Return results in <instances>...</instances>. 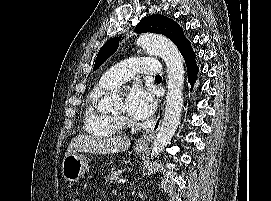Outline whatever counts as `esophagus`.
<instances>
[{
	"mask_svg": "<svg viewBox=\"0 0 271 201\" xmlns=\"http://www.w3.org/2000/svg\"><path fill=\"white\" fill-rule=\"evenodd\" d=\"M163 115H164V106L161 105L158 111V116L153 125L151 126V128L136 140L135 144L137 146H147L153 140V138L160 129L163 120Z\"/></svg>",
	"mask_w": 271,
	"mask_h": 201,
	"instance_id": "1",
	"label": "esophagus"
}]
</instances>
